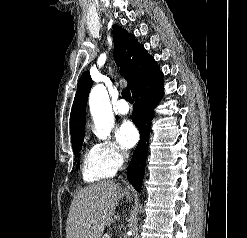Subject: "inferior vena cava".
<instances>
[{
  "instance_id": "1",
  "label": "inferior vena cava",
  "mask_w": 247,
  "mask_h": 238,
  "mask_svg": "<svg viewBox=\"0 0 247 238\" xmlns=\"http://www.w3.org/2000/svg\"><path fill=\"white\" fill-rule=\"evenodd\" d=\"M123 157H124V159H125V161H127V159L129 158V154H128V152H123Z\"/></svg>"
}]
</instances>
